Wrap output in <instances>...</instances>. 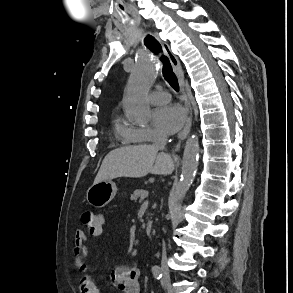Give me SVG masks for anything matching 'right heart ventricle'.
<instances>
[{
	"label": "right heart ventricle",
	"mask_w": 293,
	"mask_h": 293,
	"mask_svg": "<svg viewBox=\"0 0 293 293\" xmlns=\"http://www.w3.org/2000/svg\"><path fill=\"white\" fill-rule=\"evenodd\" d=\"M127 132H128V127L123 126L121 124L117 125V133L118 134L122 135L127 142H130V143L131 142H136V140H132V139L127 138V136H126Z\"/></svg>",
	"instance_id": "right-heart-ventricle-1"
}]
</instances>
